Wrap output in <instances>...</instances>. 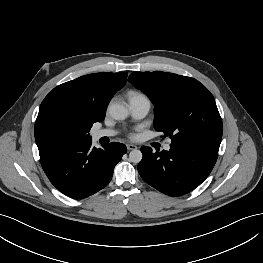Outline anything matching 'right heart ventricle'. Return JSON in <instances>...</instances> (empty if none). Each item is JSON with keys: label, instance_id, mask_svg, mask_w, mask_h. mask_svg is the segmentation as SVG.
Here are the masks:
<instances>
[{"label": "right heart ventricle", "instance_id": "1", "mask_svg": "<svg viewBox=\"0 0 263 263\" xmlns=\"http://www.w3.org/2000/svg\"><path fill=\"white\" fill-rule=\"evenodd\" d=\"M130 99L133 98H138V97H145L144 94L140 93V92H136V91H132L129 93Z\"/></svg>", "mask_w": 263, "mask_h": 263}]
</instances>
